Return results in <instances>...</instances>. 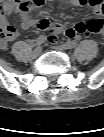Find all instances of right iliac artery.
I'll use <instances>...</instances> for the list:
<instances>
[{
  "instance_id": "1",
  "label": "right iliac artery",
  "mask_w": 104,
  "mask_h": 137,
  "mask_svg": "<svg viewBox=\"0 0 104 137\" xmlns=\"http://www.w3.org/2000/svg\"><path fill=\"white\" fill-rule=\"evenodd\" d=\"M46 38L44 36H40L35 40V45H41L45 42Z\"/></svg>"
}]
</instances>
